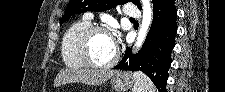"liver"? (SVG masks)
<instances>
[{"label":"liver","mask_w":225,"mask_h":92,"mask_svg":"<svg viewBox=\"0 0 225 92\" xmlns=\"http://www.w3.org/2000/svg\"><path fill=\"white\" fill-rule=\"evenodd\" d=\"M116 71L105 69H61L54 80V87L69 83L101 85L108 81Z\"/></svg>","instance_id":"obj_1"}]
</instances>
